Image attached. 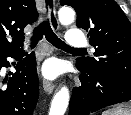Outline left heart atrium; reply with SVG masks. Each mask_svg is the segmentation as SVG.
<instances>
[{
    "mask_svg": "<svg viewBox=\"0 0 131 115\" xmlns=\"http://www.w3.org/2000/svg\"><path fill=\"white\" fill-rule=\"evenodd\" d=\"M45 74L49 77H54L57 74V69L54 64H47L45 67Z\"/></svg>",
    "mask_w": 131,
    "mask_h": 115,
    "instance_id": "39dd6f15",
    "label": "left heart atrium"
}]
</instances>
